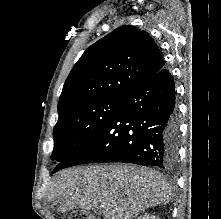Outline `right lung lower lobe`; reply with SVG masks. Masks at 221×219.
Masks as SVG:
<instances>
[{
  "mask_svg": "<svg viewBox=\"0 0 221 219\" xmlns=\"http://www.w3.org/2000/svg\"><path fill=\"white\" fill-rule=\"evenodd\" d=\"M175 84L168 70L129 90L98 134L53 172L86 163L126 162L171 169L178 158Z\"/></svg>",
  "mask_w": 221,
  "mask_h": 219,
  "instance_id": "right-lung-lower-lobe-1",
  "label": "right lung lower lobe"
}]
</instances>
